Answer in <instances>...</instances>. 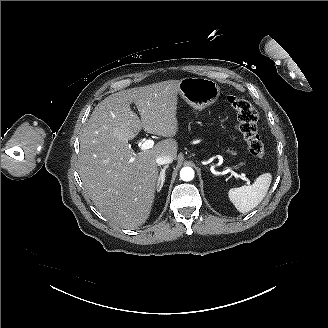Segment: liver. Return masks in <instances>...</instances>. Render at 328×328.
<instances>
[{
  "mask_svg": "<svg viewBox=\"0 0 328 328\" xmlns=\"http://www.w3.org/2000/svg\"><path fill=\"white\" fill-rule=\"evenodd\" d=\"M179 81L168 80L109 95L98 103L80 135L79 174L99 211L125 229L146 222L158 177L156 159L177 157ZM134 102L140 117L130 107ZM169 137L135 153L128 141L141 130Z\"/></svg>",
  "mask_w": 328,
  "mask_h": 328,
  "instance_id": "1",
  "label": "liver"
}]
</instances>
